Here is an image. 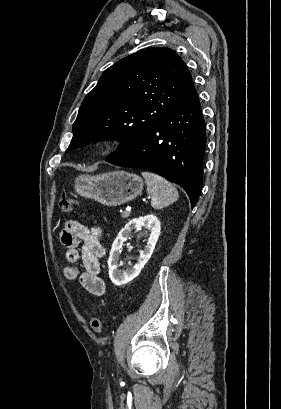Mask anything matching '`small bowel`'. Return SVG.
<instances>
[{
  "mask_svg": "<svg viewBox=\"0 0 281 409\" xmlns=\"http://www.w3.org/2000/svg\"><path fill=\"white\" fill-rule=\"evenodd\" d=\"M60 241L66 247L65 258L69 263L63 270L65 278L77 282L93 295H103L105 284L100 277V258L105 250L100 229L68 220L60 232ZM79 261L82 271L77 265Z\"/></svg>",
  "mask_w": 281,
  "mask_h": 409,
  "instance_id": "small-bowel-1",
  "label": "small bowel"
}]
</instances>
